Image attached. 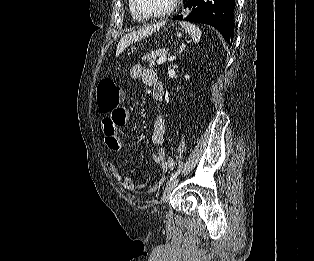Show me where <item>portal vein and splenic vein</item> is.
I'll list each match as a JSON object with an SVG mask.
<instances>
[{
  "mask_svg": "<svg viewBox=\"0 0 314 261\" xmlns=\"http://www.w3.org/2000/svg\"><path fill=\"white\" fill-rule=\"evenodd\" d=\"M166 60H167V55L161 56L159 57L157 64L158 65L163 64Z\"/></svg>",
  "mask_w": 314,
  "mask_h": 261,
  "instance_id": "18ae733b",
  "label": "portal vein and splenic vein"
}]
</instances>
